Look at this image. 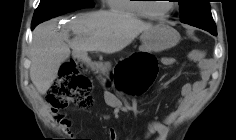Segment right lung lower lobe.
I'll return each mask as SVG.
<instances>
[{"label":"right lung lower lobe","mask_w":236,"mask_h":140,"mask_svg":"<svg viewBox=\"0 0 236 140\" xmlns=\"http://www.w3.org/2000/svg\"><path fill=\"white\" fill-rule=\"evenodd\" d=\"M35 26H36L35 24L31 25V29L33 30L35 28Z\"/></svg>","instance_id":"obj_1"}]
</instances>
